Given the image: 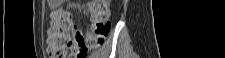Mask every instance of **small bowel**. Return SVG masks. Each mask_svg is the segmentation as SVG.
I'll return each instance as SVG.
<instances>
[{
    "instance_id": "1",
    "label": "small bowel",
    "mask_w": 225,
    "mask_h": 58,
    "mask_svg": "<svg viewBox=\"0 0 225 58\" xmlns=\"http://www.w3.org/2000/svg\"><path fill=\"white\" fill-rule=\"evenodd\" d=\"M58 3H59V1H57V0H51V1H50V6H51V7H55V6L58 5Z\"/></svg>"
}]
</instances>
